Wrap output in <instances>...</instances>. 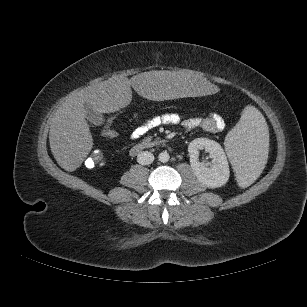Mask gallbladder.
Segmentation results:
<instances>
[{
  "mask_svg": "<svg viewBox=\"0 0 307 307\" xmlns=\"http://www.w3.org/2000/svg\"><path fill=\"white\" fill-rule=\"evenodd\" d=\"M86 118L94 125H101L104 122L103 115L91 108L87 109Z\"/></svg>",
  "mask_w": 307,
  "mask_h": 307,
  "instance_id": "obj_1",
  "label": "gallbladder"
}]
</instances>
